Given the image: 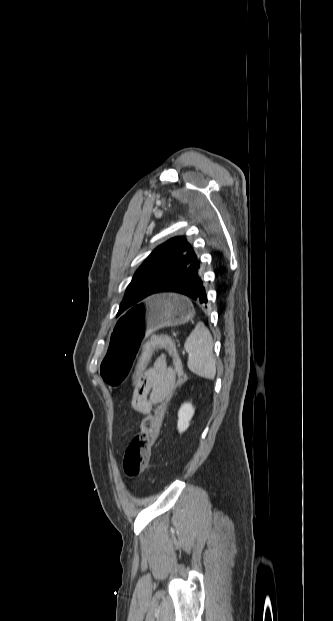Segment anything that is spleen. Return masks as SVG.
<instances>
[{"label":"spleen","mask_w":333,"mask_h":621,"mask_svg":"<svg viewBox=\"0 0 333 621\" xmlns=\"http://www.w3.org/2000/svg\"><path fill=\"white\" fill-rule=\"evenodd\" d=\"M184 348L188 353L189 370L206 379H214L216 360L213 354V339L203 323L198 324L187 337Z\"/></svg>","instance_id":"3e777b00"}]
</instances>
